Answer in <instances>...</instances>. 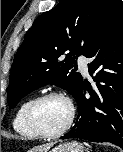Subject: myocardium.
<instances>
[{"instance_id":"1","label":"myocardium","mask_w":123,"mask_h":152,"mask_svg":"<svg viewBox=\"0 0 123 152\" xmlns=\"http://www.w3.org/2000/svg\"><path fill=\"white\" fill-rule=\"evenodd\" d=\"M52 98H59L64 100L67 105L69 106V118L66 124L56 132H46L44 131L37 122V112L40 105L48 99ZM75 107L72 100L64 93L51 91L45 94L40 95L39 97L35 98V100L30 105L28 112H27V123L30 129L39 137L42 138H58L64 135L72 126L74 119H75Z\"/></svg>"}]
</instances>
